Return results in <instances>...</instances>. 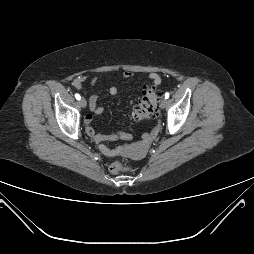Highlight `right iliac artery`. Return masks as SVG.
<instances>
[{
	"mask_svg": "<svg viewBox=\"0 0 254 254\" xmlns=\"http://www.w3.org/2000/svg\"><path fill=\"white\" fill-rule=\"evenodd\" d=\"M75 98H76L77 100H80L81 97H80L79 94L76 93V94H75Z\"/></svg>",
	"mask_w": 254,
	"mask_h": 254,
	"instance_id": "1",
	"label": "right iliac artery"
}]
</instances>
